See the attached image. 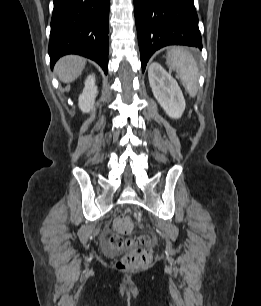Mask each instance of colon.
<instances>
[{
	"mask_svg": "<svg viewBox=\"0 0 261 306\" xmlns=\"http://www.w3.org/2000/svg\"><path fill=\"white\" fill-rule=\"evenodd\" d=\"M114 226L117 234L109 238V245L115 250L129 249L117 262V268L120 270H132L146 267L150 263L151 254L142 245L150 243L151 237L149 235L132 236L134 225L127 215L119 216L115 220Z\"/></svg>",
	"mask_w": 261,
	"mask_h": 306,
	"instance_id": "5ec220e1",
	"label": "colon"
}]
</instances>
